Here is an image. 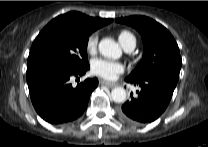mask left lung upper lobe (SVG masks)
I'll return each instance as SVG.
<instances>
[{
  "mask_svg": "<svg viewBox=\"0 0 208 147\" xmlns=\"http://www.w3.org/2000/svg\"><path fill=\"white\" fill-rule=\"evenodd\" d=\"M116 21L135 28L141 34L144 46L142 60L127 78L135 80L159 74L178 81L182 63L179 48L164 26L145 16H130Z\"/></svg>",
  "mask_w": 208,
  "mask_h": 147,
  "instance_id": "5c2ea615",
  "label": "left lung upper lobe"
}]
</instances>
